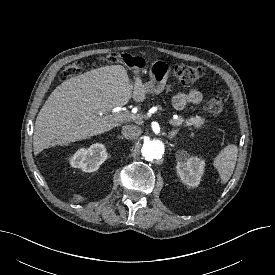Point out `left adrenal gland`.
I'll list each match as a JSON object with an SVG mask.
<instances>
[{
  "label": "left adrenal gland",
  "instance_id": "1",
  "mask_svg": "<svg viewBox=\"0 0 275 275\" xmlns=\"http://www.w3.org/2000/svg\"><path fill=\"white\" fill-rule=\"evenodd\" d=\"M179 131V129H175V130H172L171 132H169L168 134V138L169 139H172L174 136H176L177 132Z\"/></svg>",
  "mask_w": 275,
  "mask_h": 275
}]
</instances>
